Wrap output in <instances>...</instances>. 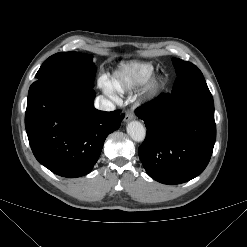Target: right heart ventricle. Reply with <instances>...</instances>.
<instances>
[{
    "mask_svg": "<svg viewBox=\"0 0 247 247\" xmlns=\"http://www.w3.org/2000/svg\"><path fill=\"white\" fill-rule=\"evenodd\" d=\"M154 75V67L148 63L129 62L122 64L110 76V89L124 93L145 85Z\"/></svg>",
    "mask_w": 247,
    "mask_h": 247,
    "instance_id": "obj_1",
    "label": "right heart ventricle"
}]
</instances>
